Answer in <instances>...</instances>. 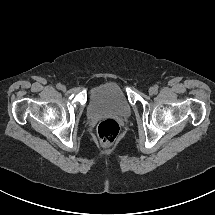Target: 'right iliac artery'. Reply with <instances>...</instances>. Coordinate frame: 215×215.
<instances>
[{
	"instance_id": "1",
	"label": "right iliac artery",
	"mask_w": 215,
	"mask_h": 215,
	"mask_svg": "<svg viewBox=\"0 0 215 215\" xmlns=\"http://www.w3.org/2000/svg\"><path fill=\"white\" fill-rule=\"evenodd\" d=\"M56 87H57V89H61L62 85H61L60 83H58V84L56 85Z\"/></svg>"
}]
</instances>
